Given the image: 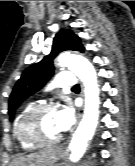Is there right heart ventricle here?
Listing matches in <instances>:
<instances>
[{
    "label": "right heart ventricle",
    "mask_w": 135,
    "mask_h": 166,
    "mask_svg": "<svg viewBox=\"0 0 135 166\" xmlns=\"http://www.w3.org/2000/svg\"><path fill=\"white\" fill-rule=\"evenodd\" d=\"M32 106H33V104H28V105H26L25 107H23V108L21 109V111L19 112V114H18V116H17V118H16V120H15L14 128H13V135H14V137H15L17 143L21 146V148H23V149H25V150H31V149L35 148L36 146L31 145V144H29V143H26L25 141H23V140L20 138V136H19V131H18V125H19V121H20L22 115L25 113V111H26L27 109H29V108L32 107Z\"/></svg>",
    "instance_id": "obj_1"
}]
</instances>
